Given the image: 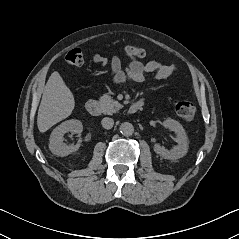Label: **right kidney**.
<instances>
[{"mask_svg": "<svg viewBox=\"0 0 239 239\" xmlns=\"http://www.w3.org/2000/svg\"><path fill=\"white\" fill-rule=\"evenodd\" d=\"M72 130L81 133L83 130L82 123L76 119L67 120L52 131L49 139V149L53 154L64 157L79 149L80 144L67 146L63 142L64 134Z\"/></svg>", "mask_w": 239, "mask_h": 239, "instance_id": "1", "label": "right kidney"}]
</instances>
